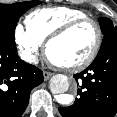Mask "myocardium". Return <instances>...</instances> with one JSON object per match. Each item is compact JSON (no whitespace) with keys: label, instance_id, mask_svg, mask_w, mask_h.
<instances>
[{"label":"myocardium","instance_id":"myocardium-1","mask_svg":"<svg viewBox=\"0 0 117 117\" xmlns=\"http://www.w3.org/2000/svg\"><path fill=\"white\" fill-rule=\"evenodd\" d=\"M86 23L92 24L96 30V41H95L94 47H93L92 51L90 52V54L84 60H82L78 63L72 64V65L64 66V65H59V64L54 63L49 57V50H50L51 45L55 41L65 37L67 34H69L71 31H73L78 26H80L82 24H86ZM102 40H103L102 29L96 20H94L93 18H90V17L76 19V20H73V21L68 22L67 24L63 25L61 28H59L57 31H55L53 34H51L47 38L46 43H45V55H46L47 60L49 61V63L52 66H54L60 70H63L65 72H69V73L78 72V71H81V70L87 68L96 59V57L100 51L101 45H102Z\"/></svg>","mask_w":117,"mask_h":117}]
</instances>
